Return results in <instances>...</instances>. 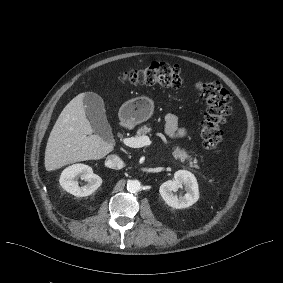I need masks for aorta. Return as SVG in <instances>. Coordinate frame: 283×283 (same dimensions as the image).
<instances>
[{
    "instance_id": "aorta-1",
    "label": "aorta",
    "mask_w": 283,
    "mask_h": 283,
    "mask_svg": "<svg viewBox=\"0 0 283 283\" xmlns=\"http://www.w3.org/2000/svg\"><path fill=\"white\" fill-rule=\"evenodd\" d=\"M141 189V183L138 180H130L127 183V190L131 193H136Z\"/></svg>"
}]
</instances>
